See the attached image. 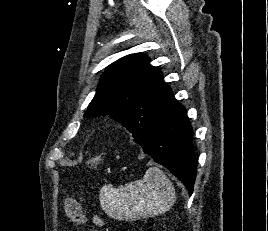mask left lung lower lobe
Instances as JSON below:
<instances>
[{"label":"left lung lower lobe","mask_w":268,"mask_h":231,"mask_svg":"<svg viewBox=\"0 0 268 231\" xmlns=\"http://www.w3.org/2000/svg\"><path fill=\"white\" fill-rule=\"evenodd\" d=\"M136 142L144 153L166 167L192 194L197 173L193 129L180 103L176 102L150 133Z\"/></svg>","instance_id":"obj_1"}]
</instances>
